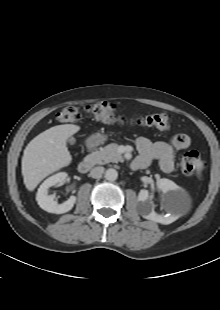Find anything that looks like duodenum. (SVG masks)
<instances>
[{"label": "duodenum", "mask_w": 220, "mask_h": 310, "mask_svg": "<svg viewBox=\"0 0 220 310\" xmlns=\"http://www.w3.org/2000/svg\"><path fill=\"white\" fill-rule=\"evenodd\" d=\"M94 162L95 161L93 158H87V159L82 160L78 165L79 172L88 173L93 167Z\"/></svg>", "instance_id": "1"}]
</instances>
